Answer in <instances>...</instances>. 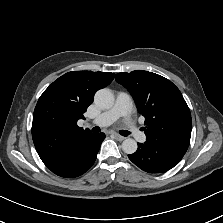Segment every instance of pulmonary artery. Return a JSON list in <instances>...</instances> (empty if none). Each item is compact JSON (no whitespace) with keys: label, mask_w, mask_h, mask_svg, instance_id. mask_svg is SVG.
<instances>
[{"label":"pulmonary artery","mask_w":223,"mask_h":223,"mask_svg":"<svg viewBox=\"0 0 223 223\" xmlns=\"http://www.w3.org/2000/svg\"><path fill=\"white\" fill-rule=\"evenodd\" d=\"M131 108L132 99L130 95L126 92L119 91L116 93L114 105L109 110L92 119L90 124L98 127L110 126L119 118L128 117L131 112ZM127 129L129 131H134L136 129V124L134 122H129L127 124ZM134 137L141 145H146L148 143V138L143 132H136Z\"/></svg>","instance_id":"obj_1"}]
</instances>
